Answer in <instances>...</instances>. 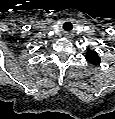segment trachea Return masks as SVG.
<instances>
[{"label": "trachea", "mask_w": 115, "mask_h": 119, "mask_svg": "<svg viewBox=\"0 0 115 119\" xmlns=\"http://www.w3.org/2000/svg\"><path fill=\"white\" fill-rule=\"evenodd\" d=\"M62 30H66V31H71L73 29V24L71 22H67L65 21L63 24H62Z\"/></svg>", "instance_id": "obj_1"}]
</instances>
